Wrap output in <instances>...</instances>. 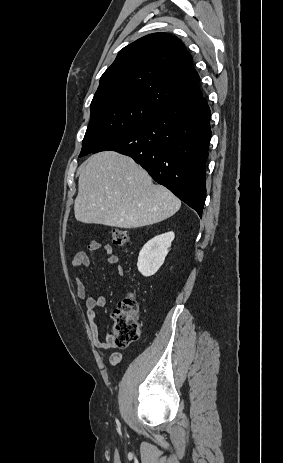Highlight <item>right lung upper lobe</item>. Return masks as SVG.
<instances>
[{
	"label": "right lung upper lobe",
	"instance_id": "obj_1",
	"mask_svg": "<svg viewBox=\"0 0 283 463\" xmlns=\"http://www.w3.org/2000/svg\"><path fill=\"white\" fill-rule=\"evenodd\" d=\"M192 57L180 39L146 35L124 47L103 73L94 95L126 92L160 109L202 95Z\"/></svg>",
	"mask_w": 283,
	"mask_h": 463
}]
</instances>
